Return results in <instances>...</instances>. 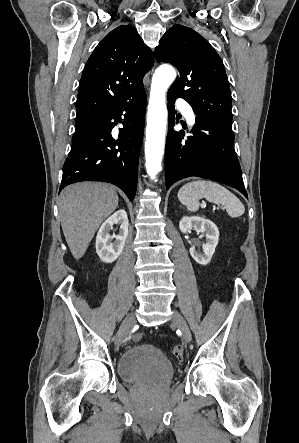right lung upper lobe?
Returning a JSON list of instances; mask_svg holds the SVG:
<instances>
[{
    "label": "right lung upper lobe",
    "instance_id": "cb5924a9",
    "mask_svg": "<svg viewBox=\"0 0 299 443\" xmlns=\"http://www.w3.org/2000/svg\"><path fill=\"white\" fill-rule=\"evenodd\" d=\"M154 55L137 30L121 25L111 31L89 57L80 80L76 123L129 100L143 89V77Z\"/></svg>",
    "mask_w": 299,
    "mask_h": 443
}]
</instances>
